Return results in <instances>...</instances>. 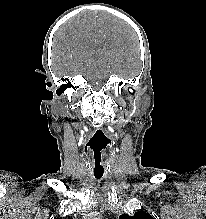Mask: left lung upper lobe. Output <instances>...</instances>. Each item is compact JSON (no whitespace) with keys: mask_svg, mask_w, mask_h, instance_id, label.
Wrapping results in <instances>:
<instances>
[{"mask_svg":"<svg viewBox=\"0 0 206 219\" xmlns=\"http://www.w3.org/2000/svg\"><path fill=\"white\" fill-rule=\"evenodd\" d=\"M119 219H153V217L144 211H139L136 212L133 216L122 214L119 216Z\"/></svg>","mask_w":206,"mask_h":219,"instance_id":"1","label":"left lung upper lobe"}]
</instances>
